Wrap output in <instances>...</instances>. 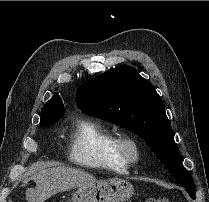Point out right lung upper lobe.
Listing matches in <instances>:
<instances>
[{"instance_id": "obj_1", "label": "right lung upper lobe", "mask_w": 209, "mask_h": 202, "mask_svg": "<svg viewBox=\"0 0 209 202\" xmlns=\"http://www.w3.org/2000/svg\"><path fill=\"white\" fill-rule=\"evenodd\" d=\"M56 108H64L63 101L58 93H54L53 97L43 106L41 111L46 112L48 110H52ZM48 124H50V121H48L47 119L41 118L40 126L44 127L45 125H48Z\"/></svg>"}]
</instances>
